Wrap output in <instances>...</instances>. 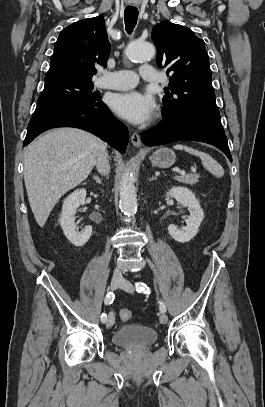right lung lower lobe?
Masks as SVG:
<instances>
[{
  "mask_svg": "<svg viewBox=\"0 0 265 407\" xmlns=\"http://www.w3.org/2000/svg\"><path fill=\"white\" fill-rule=\"evenodd\" d=\"M56 127L86 130L124 153L128 143L127 127L117 120L102 102L51 112L30 120L23 145H28L42 132Z\"/></svg>",
  "mask_w": 265,
  "mask_h": 407,
  "instance_id": "obj_1",
  "label": "right lung lower lobe"
}]
</instances>
